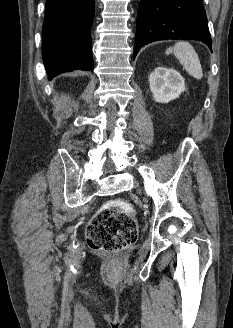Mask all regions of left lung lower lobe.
Listing matches in <instances>:
<instances>
[{
    "instance_id": "left-lung-lower-lobe-1",
    "label": "left lung lower lobe",
    "mask_w": 233,
    "mask_h": 328,
    "mask_svg": "<svg viewBox=\"0 0 233 328\" xmlns=\"http://www.w3.org/2000/svg\"><path fill=\"white\" fill-rule=\"evenodd\" d=\"M168 39L200 40L212 51L201 0H141L133 57L142 46Z\"/></svg>"
}]
</instances>
